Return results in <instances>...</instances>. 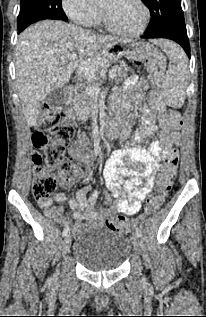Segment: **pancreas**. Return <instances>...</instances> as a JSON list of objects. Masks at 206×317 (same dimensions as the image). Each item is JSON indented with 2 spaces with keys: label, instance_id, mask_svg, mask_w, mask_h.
Wrapping results in <instances>:
<instances>
[{
  "label": "pancreas",
  "instance_id": "pancreas-1",
  "mask_svg": "<svg viewBox=\"0 0 206 317\" xmlns=\"http://www.w3.org/2000/svg\"><path fill=\"white\" fill-rule=\"evenodd\" d=\"M130 72H133L132 68L127 66L126 61H121L120 66L118 67L114 75L115 82L117 84L122 82L123 79L128 77ZM85 76H89L90 79H92L94 77V72H91L90 75ZM89 87L94 89H100L101 81L96 79L93 85H90ZM87 89V87H82L76 90L72 99V105L74 107L75 116L78 120L82 121H85L89 117H91L95 104L94 98L88 94Z\"/></svg>",
  "mask_w": 206,
  "mask_h": 317
}]
</instances>
